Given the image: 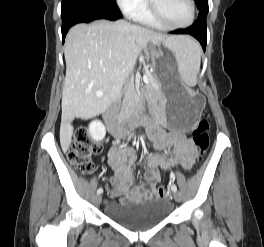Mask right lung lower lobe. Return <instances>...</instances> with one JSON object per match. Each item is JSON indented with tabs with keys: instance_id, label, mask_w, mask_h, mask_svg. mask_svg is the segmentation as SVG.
<instances>
[{
	"instance_id": "obj_1",
	"label": "right lung lower lobe",
	"mask_w": 264,
	"mask_h": 247,
	"mask_svg": "<svg viewBox=\"0 0 264 247\" xmlns=\"http://www.w3.org/2000/svg\"><path fill=\"white\" fill-rule=\"evenodd\" d=\"M62 40L71 26L78 23H89L97 19L117 20L122 14L114 3L94 0H62Z\"/></svg>"
}]
</instances>
